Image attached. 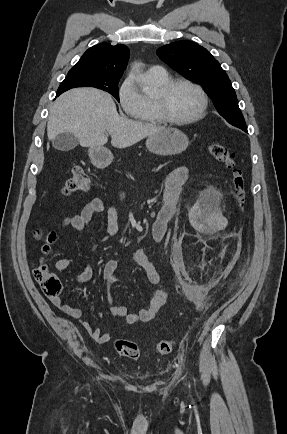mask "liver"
<instances>
[{
    "mask_svg": "<svg viewBox=\"0 0 287 434\" xmlns=\"http://www.w3.org/2000/svg\"><path fill=\"white\" fill-rule=\"evenodd\" d=\"M162 129L119 116L111 95L94 88H76L62 94L54 102L47 123L49 140L71 133L83 147L90 148L107 143L105 131L114 147L126 148Z\"/></svg>",
    "mask_w": 287,
    "mask_h": 434,
    "instance_id": "6515ba94",
    "label": "liver"
}]
</instances>
